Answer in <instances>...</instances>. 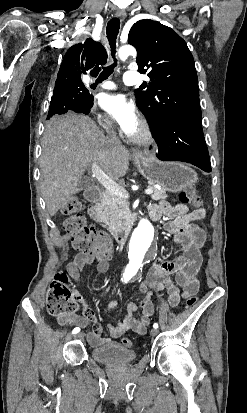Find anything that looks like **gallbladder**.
Returning <instances> with one entry per match:
<instances>
[{
  "label": "gallbladder",
  "mask_w": 247,
  "mask_h": 413,
  "mask_svg": "<svg viewBox=\"0 0 247 413\" xmlns=\"http://www.w3.org/2000/svg\"><path fill=\"white\" fill-rule=\"evenodd\" d=\"M93 180H91L90 176H82L78 182V186L80 190H84V188H88V186H92Z\"/></svg>",
  "instance_id": "bac80fb5"
}]
</instances>
